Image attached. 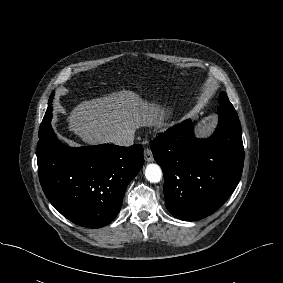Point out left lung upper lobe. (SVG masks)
<instances>
[{"label":"left lung upper lobe","mask_w":283,"mask_h":283,"mask_svg":"<svg viewBox=\"0 0 283 283\" xmlns=\"http://www.w3.org/2000/svg\"><path fill=\"white\" fill-rule=\"evenodd\" d=\"M219 104L222 106H226V107H232L233 105L230 103L227 95L225 92H222L220 94V98H219Z\"/></svg>","instance_id":"left-lung-upper-lobe-1"}]
</instances>
